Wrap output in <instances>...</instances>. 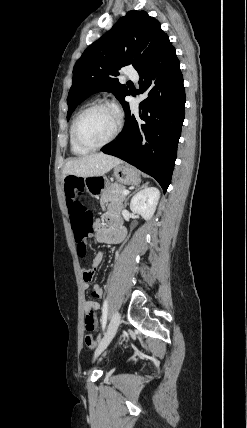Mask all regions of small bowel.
<instances>
[{"label":"small bowel","instance_id":"obj_1","mask_svg":"<svg viewBox=\"0 0 247 428\" xmlns=\"http://www.w3.org/2000/svg\"><path fill=\"white\" fill-rule=\"evenodd\" d=\"M124 236L125 229L121 225L118 214L113 209L109 210L104 216L103 222L98 227L97 239L106 243H118L123 240ZM102 260L103 252H98L91 267L83 271V287L85 289L90 287V281L93 278L94 271L99 267ZM91 295L93 298H101L103 295L102 288L99 285H93ZM99 308L100 304L96 309L98 310ZM89 311L90 309H88L84 304L85 318L89 317Z\"/></svg>","mask_w":247,"mask_h":428}]
</instances>
